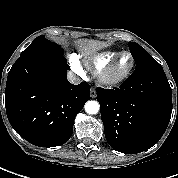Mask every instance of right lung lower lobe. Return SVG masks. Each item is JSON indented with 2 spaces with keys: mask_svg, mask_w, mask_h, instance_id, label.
I'll return each instance as SVG.
<instances>
[{
  "mask_svg": "<svg viewBox=\"0 0 178 178\" xmlns=\"http://www.w3.org/2000/svg\"><path fill=\"white\" fill-rule=\"evenodd\" d=\"M64 56L18 58L5 89V107L13 129L39 147L67 142L77 113L90 99L86 82L73 85Z\"/></svg>",
  "mask_w": 178,
  "mask_h": 178,
  "instance_id": "1",
  "label": "right lung lower lobe"
}]
</instances>
